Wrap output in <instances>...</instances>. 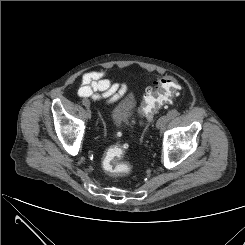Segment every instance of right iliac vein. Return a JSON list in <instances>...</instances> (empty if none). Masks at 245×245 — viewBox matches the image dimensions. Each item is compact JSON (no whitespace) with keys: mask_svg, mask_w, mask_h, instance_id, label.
Masks as SVG:
<instances>
[{"mask_svg":"<svg viewBox=\"0 0 245 245\" xmlns=\"http://www.w3.org/2000/svg\"><path fill=\"white\" fill-rule=\"evenodd\" d=\"M83 105L88 109V113H87V118H90L91 117V114H90V102L88 99H83Z\"/></svg>","mask_w":245,"mask_h":245,"instance_id":"63e3f726","label":"right iliac vein"}]
</instances>
